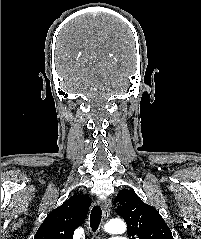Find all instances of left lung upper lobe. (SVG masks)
I'll use <instances>...</instances> for the list:
<instances>
[{"mask_svg": "<svg viewBox=\"0 0 201 239\" xmlns=\"http://www.w3.org/2000/svg\"><path fill=\"white\" fill-rule=\"evenodd\" d=\"M115 202V210L127 223L130 239H173L171 230L159 212L144 203L133 190H121Z\"/></svg>", "mask_w": 201, "mask_h": 239, "instance_id": "1", "label": "left lung upper lobe"}]
</instances>
